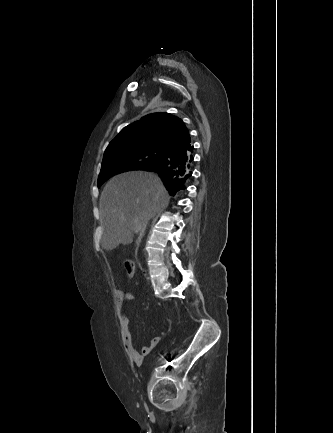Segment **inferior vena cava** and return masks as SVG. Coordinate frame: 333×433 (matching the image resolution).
I'll list each match as a JSON object with an SVG mask.
<instances>
[{
  "label": "inferior vena cava",
  "mask_w": 333,
  "mask_h": 433,
  "mask_svg": "<svg viewBox=\"0 0 333 433\" xmlns=\"http://www.w3.org/2000/svg\"><path fill=\"white\" fill-rule=\"evenodd\" d=\"M146 225H147V222L144 224L143 228L141 229V232H140L141 236L144 235V232H145V229H146Z\"/></svg>",
  "instance_id": "1"
}]
</instances>
